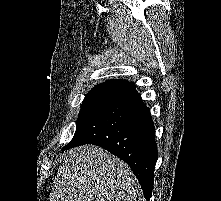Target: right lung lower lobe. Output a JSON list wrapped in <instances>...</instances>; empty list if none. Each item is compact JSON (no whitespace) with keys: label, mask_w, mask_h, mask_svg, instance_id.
Here are the masks:
<instances>
[{"label":"right lung lower lobe","mask_w":221,"mask_h":201,"mask_svg":"<svg viewBox=\"0 0 221 201\" xmlns=\"http://www.w3.org/2000/svg\"><path fill=\"white\" fill-rule=\"evenodd\" d=\"M83 144L100 146L125 161L150 200L158 158L155 129L132 82L117 90L62 150Z\"/></svg>","instance_id":"1"}]
</instances>
